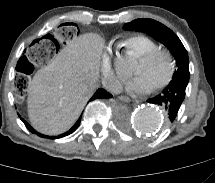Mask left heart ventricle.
Returning <instances> with one entry per match:
<instances>
[{"label":"left heart ventricle","mask_w":215,"mask_h":183,"mask_svg":"<svg viewBox=\"0 0 215 183\" xmlns=\"http://www.w3.org/2000/svg\"><path fill=\"white\" fill-rule=\"evenodd\" d=\"M168 69V61L164 57L158 56L150 62H142L138 60L133 74L143 75L151 87H154L165 79Z\"/></svg>","instance_id":"obj_1"}]
</instances>
